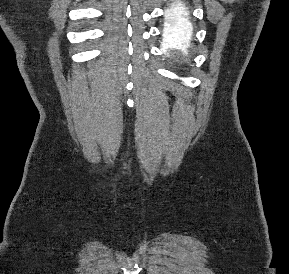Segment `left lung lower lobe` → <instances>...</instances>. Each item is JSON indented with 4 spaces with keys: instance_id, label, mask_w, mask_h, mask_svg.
Wrapping results in <instances>:
<instances>
[{
    "instance_id": "left-lung-lower-lobe-1",
    "label": "left lung lower lobe",
    "mask_w": 289,
    "mask_h": 274,
    "mask_svg": "<svg viewBox=\"0 0 289 274\" xmlns=\"http://www.w3.org/2000/svg\"><path fill=\"white\" fill-rule=\"evenodd\" d=\"M190 35V29L185 22V14L180 9H171L168 15V24L165 36L168 39L185 38Z\"/></svg>"
}]
</instances>
